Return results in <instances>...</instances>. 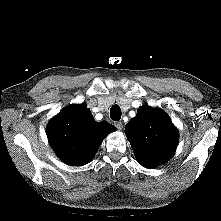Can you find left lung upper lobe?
<instances>
[{
	"mask_svg": "<svg viewBox=\"0 0 221 221\" xmlns=\"http://www.w3.org/2000/svg\"><path fill=\"white\" fill-rule=\"evenodd\" d=\"M125 132L138 162L150 169L167 162L178 143L177 129L168 115L149 106L138 109Z\"/></svg>",
	"mask_w": 221,
	"mask_h": 221,
	"instance_id": "5c2ea615",
	"label": "left lung upper lobe"
}]
</instances>
